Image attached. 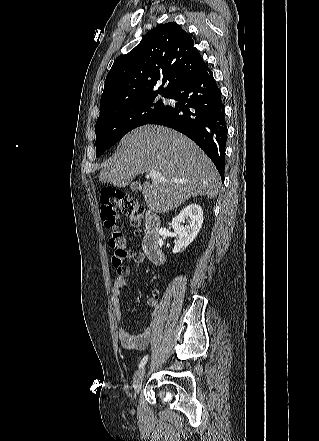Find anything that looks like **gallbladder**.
Returning <instances> with one entry per match:
<instances>
[{
    "label": "gallbladder",
    "mask_w": 319,
    "mask_h": 441,
    "mask_svg": "<svg viewBox=\"0 0 319 441\" xmlns=\"http://www.w3.org/2000/svg\"><path fill=\"white\" fill-rule=\"evenodd\" d=\"M131 189L133 190V191H141V185H140V183H132L131 184Z\"/></svg>",
    "instance_id": "bac80fb5"
}]
</instances>
